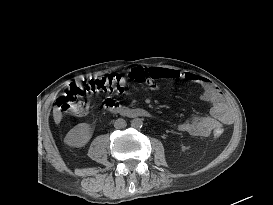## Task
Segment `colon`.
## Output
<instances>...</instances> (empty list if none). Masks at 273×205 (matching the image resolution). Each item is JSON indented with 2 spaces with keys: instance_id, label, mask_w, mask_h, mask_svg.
<instances>
[{
  "instance_id": "1",
  "label": "colon",
  "mask_w": 273,
  "mask_h": 205,
  "mask_svg": "<svg viewBox=\"0 0 273 205\" xmlns=\"http://www.w3.org/2000/svg\"><path fill=\"white\" fill-rule=\"evenodd\" d=\"M150 79L151 76L149 70L141 67L133 68L125 75L111 74L98 76L86 81L80 87H74L71 90L70 95L57 100V106L60 110L69 114H82L87 109L86 104L79 99L84 92H95L101 90L122 92L129 82L146 83L150 81ZM222 133V129H216L213 132L215 137H220Z\"/></svg>"
}]
</instances>
